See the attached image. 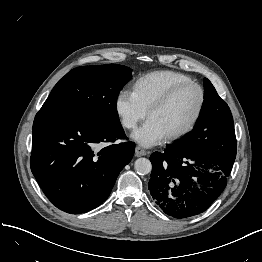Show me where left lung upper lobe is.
<instances>
[{
    "label": "left lung upper lobe",
    "instance_id": "1",
    "mask_svg": "<svg viewBox=\"0 0 262 262\" xmlns=\"http://www.w3.org/2000/svg\"><path fill=\"white\" fill-rule=\"evenodd\" d=\"M204 90V102L194 129L171 146L218 156L229 141L236 140L233 118L228 105L207 78H204Z\"/></svg>",
    "mask_w": 262,
    "mask_h": 262
}]
</instances>
